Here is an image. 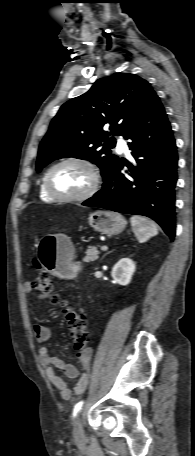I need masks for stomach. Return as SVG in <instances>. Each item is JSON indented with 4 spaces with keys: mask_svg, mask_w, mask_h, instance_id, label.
I'll return each instance as SVG.
<instances>
[{
    "mask_svg": "<svg viewBox=\"0 0 195 456\" xmlns=\"http://www.w3.org/2000/svg\"><path fill=\"white\" fill-rule=\"evenodd\" d=\"M89 225L105 235H116L126 227V220L118 213L97 210L88 217ZM39 259L43 267L53 275L74 277L78 266L74 262V247L70 238L63 234L46 235L39 244Z\"/></svg>",
    "mask_w": 195,
    "mask_h": 456,
    "instance_id": "1",
    "label": "stomach"
}]
</instances>
